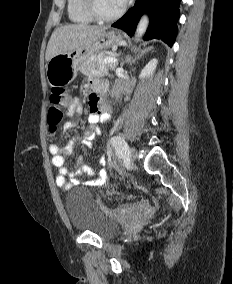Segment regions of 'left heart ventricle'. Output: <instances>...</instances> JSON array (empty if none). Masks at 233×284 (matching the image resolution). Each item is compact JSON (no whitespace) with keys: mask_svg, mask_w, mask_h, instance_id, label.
<instances>
[{"mask_svg":"<svg viewBox=\"0 0 233 284\" xmlns=\"http://www.w3.org/2000/svg\"><path fill=\"white\" fill-rule=\"evenodd\" d=\"M99 7L104 13H114L121 5L117 0H98Z\"/></svg>","mask_w":233,"mask_h":284,"instance_id":"b2bd125f","label":"left heart ventricle"}]
</instances>
